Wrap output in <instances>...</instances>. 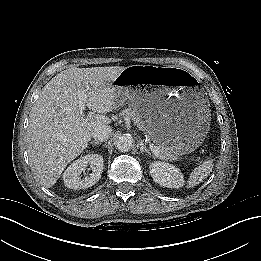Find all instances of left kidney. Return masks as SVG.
Instances as JSON below:
<instances>
[{"label":"left kidney","mask_w":261,"mask_h":261,"mask_svg":"<svg viewBox=\"0 0 261 261\" xmlns=\"http://www.w3.org/2000/svg\"><path fill=\"white\" fill-rule=\"evenodd\" d=\"M149 169L153 180L161 186L180 188L184 185L183 174L180 169L173 164L156 161L149 166Z\"/></svg>","instance_id":"5707ae66"}]
</instances>
